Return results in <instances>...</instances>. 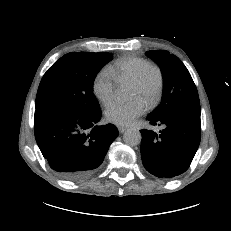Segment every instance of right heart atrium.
I'll list each match as a JSON object with an SVG mask.
<instances>
[{"instance_id": "1", "label": "right heart atrium", "mask_w": 231, "mask_h": 231, "mask_svg": "<svg viewBox=\"0 0 231 231\" xmlns=\"http://www.w3.org/2000/svg\"><path fill=\"white\" fill-rule=\"evenodd\" d=\"M93 92L95 96L104 104H108L114 98L115 83L114 78L104 69L100 71L93 80Z\"/></svg>"}]
</instances>
